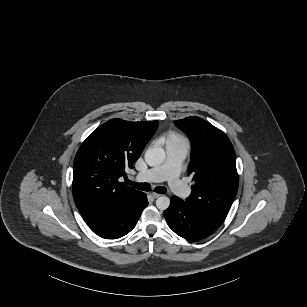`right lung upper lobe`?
Instances as JSON below:
<instances>
[{
  "label": "right lung upper lobe",
  "mask_w": 307,
  "mask_h": 307,
  "mask_svg": "<svg viewBox=\"0 0 307 307\" xmlns=\"http://www.w3.org/2000/svg\"><path fill=\"white\" fill-rule=\"evenodd\" d=\"M158 121L112 119L93 131L80 146L73 166V198L89 222L141 193L119 178L132 168L155 133Z\"/></svg>",
  "instance_id": "cb5924a9"
}]
</instances>
